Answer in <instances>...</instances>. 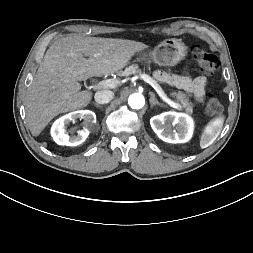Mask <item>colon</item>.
Listing matches in <instances>:
<instances>
[{
	"mask_svg": "<svg viewBox=\"0 0 253 253\" xmlns=\"http://www.w3.org/2000/svg\"><path fill=\"white\" fill-rule=\"evenodd\" d=\"M192 52L200 69L204 73L213 74L219 69L220 62L215 55L207 52L206 50H204L199 46H194ZM206 110L209 114L212 115L218 114L222 111V104L215 95L213 94L208 95Z\"/></svg>",
	"mask_w": 253,
	"mask_h": 253,
	"instance_id": "colon-1",
	"label": "colon"
}]
</instances>
